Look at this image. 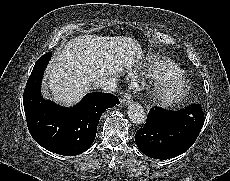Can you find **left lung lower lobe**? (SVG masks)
Here are the masks:
<instances>
[{
	"label": "left lung lower lobe",
	"mask_w": 230,
	"mask_h": 181,
	"mask_svg": "<svg viewBox=\"0 0 230 181\" xmlns=\"http://www.w3.org/2000/svg\"><path fill=\"white\" fill-rule=\"evenodd\" d=\"M199 105L178 111L152 108L146 124L135 134L139 150L155 159H170L186 152L196 141L204 124Z\"/></svg>",
	"instance_id": "1"
}]
</instances>
